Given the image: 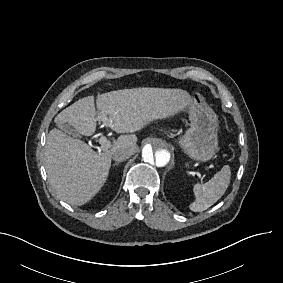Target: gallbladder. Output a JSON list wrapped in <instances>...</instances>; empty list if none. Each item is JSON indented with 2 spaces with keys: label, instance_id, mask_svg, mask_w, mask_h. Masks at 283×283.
Masks as SVG:
<instances>
[{
  "label": "gallbladder",
  "instance_id": "bac80fb5",
  "mask_svg": "<svg viewBox=\"0 0 283 283\" xmlns=\"http://www.w3.org/2000/svg\"><path fill=\"white\" fill-rule=\"evenodd\" d=\"M59 128L65 133L72 135L73 137L79 136V134L68 124L59 125Z\"/></svg>",
  "mask_w": 283,
  "mask_h": 283
}]
</instances>
